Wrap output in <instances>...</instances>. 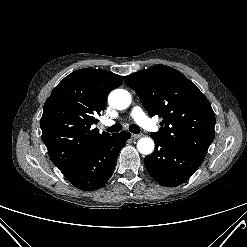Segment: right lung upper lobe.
<instances>
[{"instance_id": "1", "label": "right lung upper lobe", "mask_w": 247, "mask_h": 247, "mask_svg": "<svg viewBox=\"0 0 247 247\" xmlns=\"http://www.w3.org/2000/svg\"><path fill=\"white\" fill-rule=\"evenodd\" d=\"M122 84L121 76L91 68L66 76L51 92L40 121L42 141L50 159L63 173L108 133H99L97 115L110 91Z\"/></svg>"}]
</instances>
